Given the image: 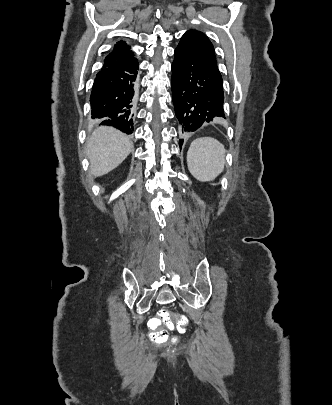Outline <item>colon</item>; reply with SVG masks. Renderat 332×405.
<instances>
[{"mask_svg": "<svg viewBox=\"0 0 332 405\" xmlns=\"http://www.w3.org/2000/svg\"><path fill=\"white\" fill-rule=\"evenodd\" d=\"M150 320L153 324L151 338L153 341L161 343L167 339L168 330H173L176 327L184 332L186 325L191 324L193 319L191 315L161 311L160 315H152Z\"/></svg>", "mask_w": 332, "mask_h": 405, "instance_id": "obj_1", "label": "colon"}]
</instances>
